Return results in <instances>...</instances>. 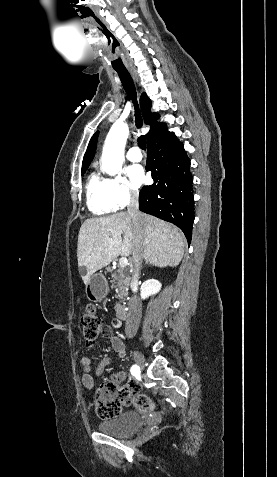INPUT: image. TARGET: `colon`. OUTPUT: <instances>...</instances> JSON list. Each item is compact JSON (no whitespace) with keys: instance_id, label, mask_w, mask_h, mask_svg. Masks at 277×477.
<instances>
[{"instance_id":"colon-1","label":"colon","mask_w":277,"mask_h":477,"mask_svg":"<svg viewBox=\"0 0 277 477\" xmlns=\"http://www.w3.org/2000/svg\"><path fill=\"white\" fill-rule=\"evenodd\" d=\"M103 327L95 308L88 306L81 316V329L88 347L95 344ZM131 404L141 412L154 409L153 400L149 396L139 393L134 384L128 383L120 386L112 380H107L100 385L94 401L96 413L105 419L119 415L124 406Z\"/></svg>"}]
</instances>
